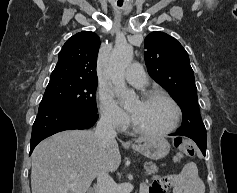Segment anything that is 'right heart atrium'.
Returning a JSON list of instances; mask_svg holds the SVG:
<instances>
[{
  "label": "right heart atrium",
  "mask_w": 237,
  "mask_h": 193,
  "mask_svg": "<svg viewBox=\"0 0 237 193\" xmlns=\"http://www.w3.org/2000/svg\"><path fill=\"white\" fill-rule=\"evenodd\" d=\"M98 101L102 120L117 130L125 129L128 124L127 114L119 107L107 89H99Z\"/></svg>",
  "instance_id": "obj_1"
}]
</instances>
